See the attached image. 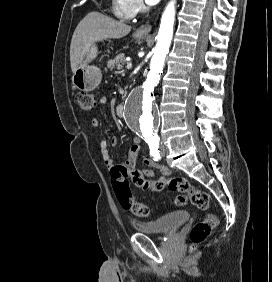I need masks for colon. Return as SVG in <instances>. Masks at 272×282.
<instances>
[{
	"mask_svg": "<svg viewBox=\"0 0 272 282\" xmlns=\"http://www.w3.org/2000/svg\"><path fill=\"white\" fill-rule=\"evenodd\" d=\"M75 99L84 112L91 111L96 105L95 97L87 92H78ZM128 176L129 170L123 165H118L113 169L114 192L118 202L123 209L131 211L136 216H148L150 214L148 207L135 200ZM131 179L132 183L137 187H143L147 185L149 181L138 172L133 173ZM158 181L164 183L169 190L182 193L177 195L174 199L176 206L185 205L186 196L184 194H186L196 208L206 212L205 218L195 223L190 231L189 238L191 249H195L211 235L214 228L217 226V218L212 211L208 193L195 188L184 177H174L169 180L158 179Z\"/></svg>",
	"mask_w": 272,
	"mask_h": 282,
	"instance_id": "obj_1",
	"label": "colon"
}]
</instances>
